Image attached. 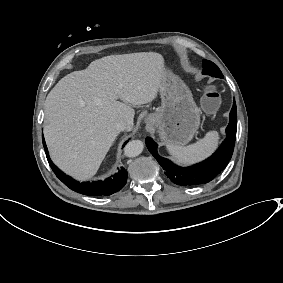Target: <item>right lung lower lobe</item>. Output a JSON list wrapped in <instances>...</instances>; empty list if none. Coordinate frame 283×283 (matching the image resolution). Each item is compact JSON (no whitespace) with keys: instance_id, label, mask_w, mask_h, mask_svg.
Segmentation results:
<instances>
[{"instance_id":"1","label":"right lung lower lobe","mask_w":283,"mask_h":283,"mask_svg":"<svg viewBox=\"0 0 283 283\" xmlns=\"http://www.w3.org/2000/svg\"><path fill=\"white\" fill-rule=\"evenodd\" d=\"M43 145L45 148L46 156L48 159V162L53 170V172L56 174V176L71 190L84 194V195H90V196H108L111 195L120 189L124 187V185L127 182V171L125 169H121L117 174H115L113 177H110L104 181H95V182H78L72 179L71 177L64 174L62 171H60L50 160L48 155V150L45 144L44 137H42ZM128 141L125 142V144ZM124 144V145H125Z\"/></svg>"}]
</instances>
